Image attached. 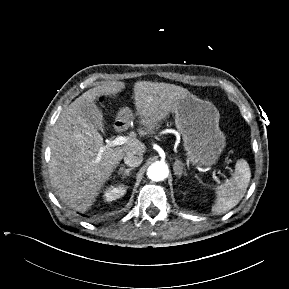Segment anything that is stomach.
I'll return each instance as SVG.
<instances>
[{"mask_svg":"<svg viewBox=\"0 0 289 289\" xmlns=\"http://www.w3.org/2000/svg\"><path fill=\"white\" fill-rule=\"evenodd\" d=\"M124 109L120 116L128 115ZM175 125L183 139L187 160L195 166L216 164L225 147V136L219 128V112L209 101L189 94L175 110Z\"/></svg>","mask_w":289,"mask_h":289,"instance_id":"0dacf381","label":"stomach"}]
</instances>
